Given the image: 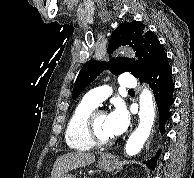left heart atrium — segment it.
I'll list each match as a JSON object with an SVG mask.
<instances>
[{
  "mask_svg": "<svg viewBox=\"0 0 194 178\" xmlns=\"http://www.w3.org/2000/svg\"><path fill=\"white\" fill-rule=\"evenodd\" d=\"M107 130L112 137L119 136L127 129L129 125V116L122 105H117L107 115Z\"/></svg>",
  "mask_w": 194,
  "mask_h": 178,
  "instance_id": "1",
  "label": "left heart atrium"
}]
</instances>
